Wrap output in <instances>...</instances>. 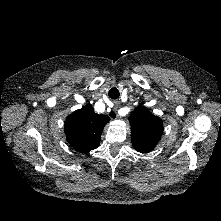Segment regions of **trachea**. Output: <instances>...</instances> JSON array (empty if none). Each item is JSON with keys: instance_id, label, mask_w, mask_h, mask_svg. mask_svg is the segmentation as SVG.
<instances>
[{"instance_id": "3493384b", "label": "trachea", "mask_w": 221, "mask_h": 221, "mask_svg": "<svg viewBox=\"0 0 221 221\" xmlns=\"http://www.w3.org/2000/svg\"><path fill=\"white\" fill-rule=\"evenodd\" d=\"M108 95L112 99H117L120 96L119 90L115 87L111 88L108 92Z\"/></svg>"}]
</instances>
